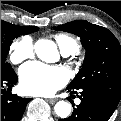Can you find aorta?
I'll list each match as a JSON object with an SVG mask.
<instances>
[{
    "label": "aorta",
    "mask_w": 121,
    "mask_h": 121,
    "mask_svg": "<svg viewBox=\"0 0 121 121\" xmlns=\"http://www.w3.org/2000/svg\"><path fill=\"white\" fill-rule=\"evenodd\" d=\"M37 56L46 62L54 61L58 51L54 42L46 39L38 40L34 45ZM55 113L61 118H67L71 113V104L65 101L58 102L55 107Z\"/></svg>",
    "instance_id": "aorta-1"
}]
</instances>
